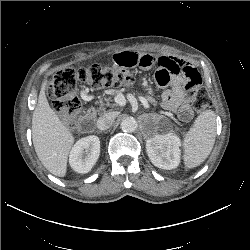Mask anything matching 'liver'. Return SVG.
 <instances>
[{
    "label": "liver",
    "instance_id": "1",
    "mask_svg": "<svg viewBox=\"0 0 250 250\" xmlns=\"http://www.w3.org/2000/svg\"><path fill=\"white\" fill-rule=\"evenodd\" d=\"M47 85L48 81L45 80L33 112L32 141L43 166L53 175L64 177L74 137L70 129L51 109L45 94Z\"/></svg>",
    "mask_w": 250,
    "mask_h": 250
}]
</instances>
